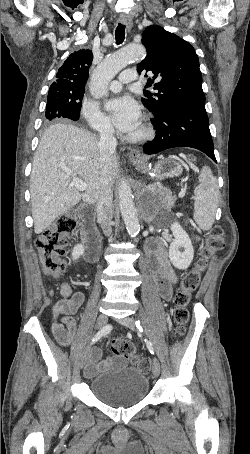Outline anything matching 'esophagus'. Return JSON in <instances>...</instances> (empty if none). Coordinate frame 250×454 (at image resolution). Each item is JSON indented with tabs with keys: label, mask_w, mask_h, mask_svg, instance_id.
Segmentation results:
<instances>
[{
	"label": "esophagus",
	"mask_w": 250,
	"mask_h": 454,
	"mask_svg": "<svg viewBox=\"0 0 250 454\" xmlns=\"http://www.w3.org/2000/svg\"><path fill=\"white\" fill-rule=\"evenodd\" d=\"M119 21H120V23L124 24L127 27L128 31H130L133 23H132V19L129 16L121 15L119 17ZM129 157L131 160H141L142 154L139 149H131V151L129 153Z\"/></svg>",
	"instance_id": "34e87169"
}]
</instances>
